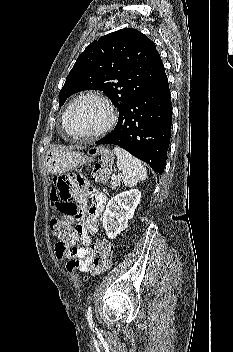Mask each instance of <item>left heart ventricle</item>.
Listing matches in <instances>:
<instances>
[{"label":"left heart ventricle","instance_id":"left-heart-ventricle-1","mask_svg":"<svg viewBox=\"0 0 233 352\" xmlns=\"http://www.w3.org/2000/svg\"><path fill=\"white\" fill-rule=\"evenodd\" d=\"M105 106L93 99L79 101L72 109L70 123L77 133H89L100 128L107 120Z\"/></svg>","mask_w":233,"mask_h":352}]
</instances>
